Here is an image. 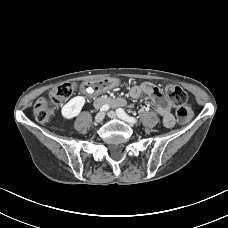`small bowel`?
<instances>
[{
	"label": "small bowel",
	"mask_w": 228,
	"mask_h": 228,
	"mask_svg": "<svg viewBox=\"0 0 228 228\" xmlns=\"http://www.w3.org/2000/svg\"><path fill=\"white\" fill-rule=\"evenodd\" d=\"M116 86L113 80H103L97 83H86L82 86V91L86 94H98L110 90ZM147 95L153 101L156 111L162 117L163 124L171 128L175 124V118L172 114L171 104L164 96L162 90L150 82H143L134 85L129 90L132 98H139L141 95Z\"/></svg>",
	"instance_id": "1"
}]
</instances>
